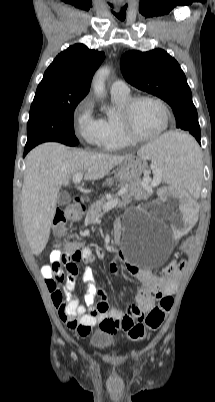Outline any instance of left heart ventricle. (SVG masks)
Returning <instances> with one entry per match:
<instances>
[{"label": "left heart ventricle", "instance_id": "obj_1", "mask_svg": "<svg viewBox=\"0 0 215 402\" xmlns=\"http://www.w3.org/2000/svg\"><path fill=\"white\" fill-rule=\"evenodd\" d=\"M164 113L161 107L152 101H142L133 111L134 130L140 135H152L164 125Z\"/></svg>", "mask_w": 215, "mask_h": 402}]
</instances>
